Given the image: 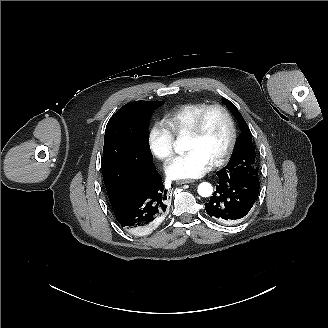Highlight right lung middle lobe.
Masks as SVG:
<instances>
[{"label":"right lung middle lobe","mask_w":328,"mask_h":328,"mask_svg":"<svg viewBox=\"0 0 328 328\" xmlns=\"http://www.w3.org/2000/svg\"><path fill=\"white\" fill-rule=\"evenodd\" d=\"M162 101L124 105L108 121L103 147V180L112 206L131 186L146 184L155 171L148 118Z\"/></svg>","instance_id":"obj_1"}]
</instances>
